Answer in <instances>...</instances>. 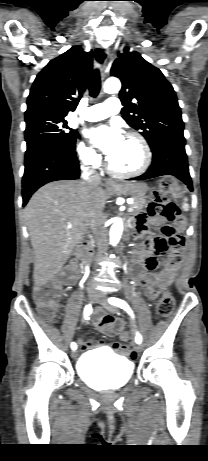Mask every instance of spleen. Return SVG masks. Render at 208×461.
<instances>
[{"mask_svg": "<svg viewBox=\"0 0 208 461\" xmlns=\"http://www.w3.org/2000/svg\"><path fill=\"white\" fill-rule=\"evenodd\" d=\"M182 209H183L184 211H188V210H189V205H188V203H187V198H184V203H183V205H182Z\"/></svg>", "mask_w": 208, "mask_h": 461, "instance_id": "spleen-1", "label": "spleen"}]
</instances>
